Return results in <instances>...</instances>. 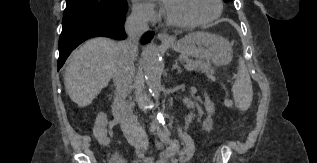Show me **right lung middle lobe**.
I'll return each instance as SVG.
<instances>
[{"instance_id":"right-lung-middle-lobe-1","label":"right lung middle lobe","mask_w":317,"mask_h":163,"mask_svg":"<svg viewBox=\"0 0 317 163\" xmlns=\"http://www.w3.org/2000/svg\"><path fill=\"white\" fill-rule=\"evenodd\" d=\"M126 0H66L62 26H67L101 13H126Z\"/></svg>"}]
</instances>
